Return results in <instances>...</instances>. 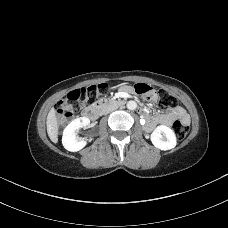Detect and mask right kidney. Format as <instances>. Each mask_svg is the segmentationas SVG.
Returning <instances> with one entry per match:
<instances>
[{"label": "right kidney", "instance_id": "obj_1", "mask_svg": "<svg viewBox=\"0 0 228 228\" xmlns=\"http://www.w3.org/2000/svg\"><path fill=\"white\" fill-rule=\"evenodd\" d=\"M90 120L86 117H80L71 121L63 131L62 144L64 148L71 152H77L86 146L85 140L76 138L77 131L80 127H86Z\"/></svg>", "mask_w": 228, "mask_h": 228}]
</instances>
